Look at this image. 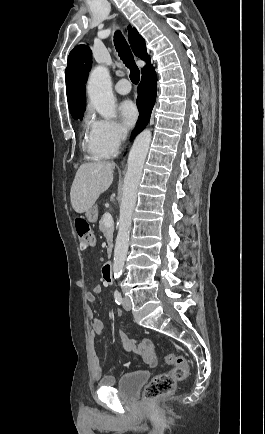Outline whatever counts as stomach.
Returning a JSON list of instances; mask_svg holds the SVG:
<instances>
[{"label":"stomach","instance_id":"obj_1","mask_svg":"<svg viewBox=\"0 0 265 434\" xmlns=\"http://www.w3.org/2000/svg\"><path fill=\"white\" fill-rule=\"evenodd\" d=\"M98 216V208L97 206H93V208H90L88 212H86V218L89 220V222H96Z\"/></svg>","mask_w":265,"mask_h":434}]
</instances>
